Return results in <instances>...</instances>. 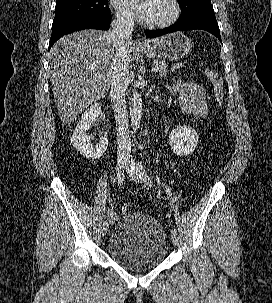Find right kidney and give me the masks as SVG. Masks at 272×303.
Segmentation results:
<instances>
[{"label": "right kidney", "instance_id": "1", "mask_svg": "<svg viewBox=\"0 0 272 303\" xmlns=\"http://www.w3.org/2000/svg\"><path fill=\"white\" fill-rule=\"evenodd\" d=\"M100 116V104L95 103L91 105L90 108L82 114L70 139L73 147L88 159L94 160L100 158L108 147V139L106 137H102L99 143L94 144L91 141V136L87 133L91 125L98 121Z\"/></svg>", "mask_w": 272, "mask_h": 303}]
</instances>
